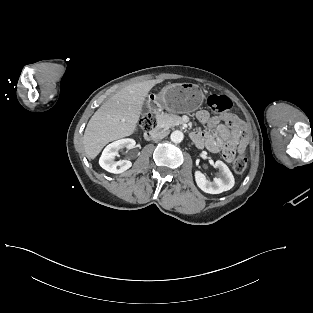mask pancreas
Here are the masks:
<instances>
[{"label": "pancreas", "mask_w": 313, "mask_h": 313, "mask_svg": "<svg viewBox=\"0 0 313 313\" xmlns=\"http://www.w3.org/2000/svg\"><path fill=\"white\" fill-rule=\"evenodd\" d=\"M157 126L164 129H169L174 126L183 125V120L180 116L175 114H167L164 112L156 116Z\"/></svg>", "instance_id": "obj_1"}]
</instances>
